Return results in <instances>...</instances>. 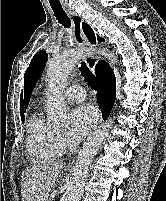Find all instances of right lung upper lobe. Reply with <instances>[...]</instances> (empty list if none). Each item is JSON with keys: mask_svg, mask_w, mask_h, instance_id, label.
Wrapping results in <instances>:
<instances>
[{"mask_svg": "<svg viewBox=\"0 0 166 201\" xmlns=\"http://www.w3.org/2000/svg\"><path fill=\"white\" fill-rule=\"evenodd\" d=\"M82 27H83V31L86 34V36L88 37L89 41L91 43H95V37H94V33H93L91 27L89 25H87L85 22H83ZM102 62L103 61H100L97 64L96 72H98V70L100 69V65ZM20 113H21V118H24V107H23L22 95H21V99H20Z\"/></svg>", "mask_w": 166, "mask_h": 201, "instance_id": "cb5924a9", "label": "right lung upper lobe"}]
</instances>
